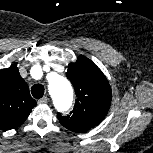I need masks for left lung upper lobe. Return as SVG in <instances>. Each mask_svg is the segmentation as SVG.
<instances>
[{
  "mask_svg": "<svg viewBox=\"0 0 153 153\" xmlns=\"http://www.w3.org/2000/svg\"><path fill=\"white\" fill-rule=\"evenodd\" d=\"M73 84L76 102L70 115L57 113L60 123L70 131L83 133L98 125L111 105V88L101 70L87 57L79 56L66 73Z\"/></svg>",
  "mask_w": 153,
  "mask_h": 153,
  "instance_id": "obj_1",
  "label": "left lung upper lobe"
}]
</instances>
